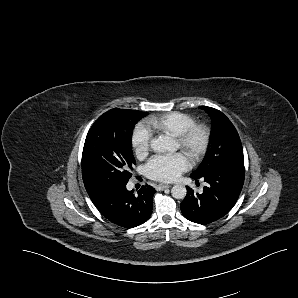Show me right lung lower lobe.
Listing matches in <instances>:
<instances>
[{"label": "right lung lower lobe", "mask_w": 298, "mask_h": 298, "mask_svg": "<svg viewBox=\"0 0 298 298\" xmlns=\"http://www.w3.org/2000/svg\"><path fill=\"white\" fill-rule=\"evenodd\" d=\"M128 191L126 185L114 189L89 193L100 213L114 224L133 228L148 220L153 208L155 189L149 185L142 186L138 194Z\"/></svg>", "instance_id": "obj_1"}]
</instances>
